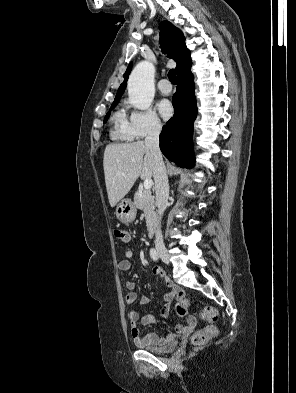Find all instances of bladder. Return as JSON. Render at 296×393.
<instances>
[{
  "instance_id": "31cf9c89",
  "label": "bladder",
  "mask_w": 296,
  "mask_h": 393,
  "mask_svg": "<svg viewBox=\"0 0 296 393\" xmlns=\"http://www.w3.org/2000/svg\"><path fill=\"white\" fill-rule=\"evenodd\" d=\"M177 343L175 341H171L167 343L163 347H152V346H142V348L146 351L153 353H168L176 348Z\"/></svg>"
}]
</instances>
